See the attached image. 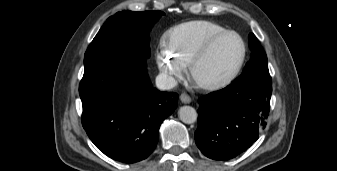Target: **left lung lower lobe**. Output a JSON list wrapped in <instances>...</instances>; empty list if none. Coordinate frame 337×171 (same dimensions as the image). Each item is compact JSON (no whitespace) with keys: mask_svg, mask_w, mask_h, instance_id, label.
I'll list each match as a JSON object with an SVG mask.
<instances>
[{"mask_svg":"<svg viewBox=\"0 0 337 171\" xmlns=\"http://www.w3.org/2000/svg\"><path fill=\"white\" fill-rule=\"evenodd\" d=\"M272 83L244 80L199 98L195 141L214 160H230L247 148L265 128Z\"/></svg>","mask_w":337,"mask_h":171,"instance_id":"obj_1","label":"left lung lower lobe"}]
</instances>
